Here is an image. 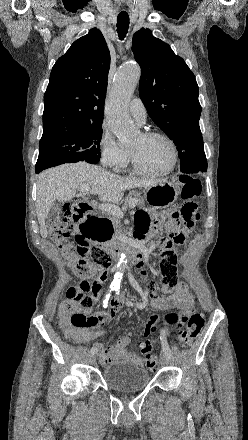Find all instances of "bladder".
Returning <instances> with one entry per match:
<instances>
[{"mask_svg":"<svg viewBox=\"0 0 248 440\" xmlns=\"http://www.w3.org/2000/svg\"><path fill=\"white\" fill-rule=\"evenodd\" d=\"M101 377L110 389L121 392L143 389L151 379L145 367L125 360L104 366Z\"/></svg>","mask_w":248,"mask_h":440,"instance_id":"bladder-1","label":"bladder"}]
</instances>
